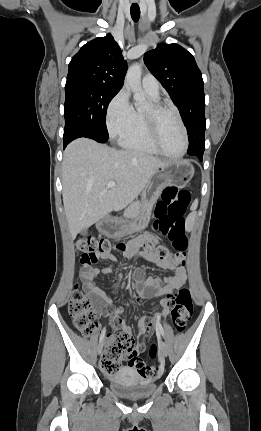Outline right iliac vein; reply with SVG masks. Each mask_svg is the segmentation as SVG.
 Listing matches in <instances>:
<instances>
[{"label": "right iliac vein", "mask_w": 261, "mask_h": 431, "mask_svg": "<svg viewBox=\"0 0 261 431\" xmlns=\"http://www.w3.org/2000/svg\"><path fill=\"white\" fill-rule=\"evenodd\" d=\"M102 349H103V342H101V343L98 345V348H97V352H98V354H101Z\"/></svg>", "instance_id": "obj_1"}]
</instances>
